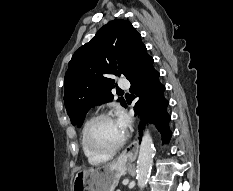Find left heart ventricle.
Masks as SVG:
<instances>
[{"mask_svg":"<svg viewBox=\"0 0 233 191\" xmlns=\"http://www.w3.org/2000/svg\"><path fill=\"white\" fill-rule=\"evenodd\" d=\"M123 136L124 133L115 119H103L94 126L91 141L97 148L108 150L116 146Z\"/></svg>","mask_w":233,"mask_h":191,"instance_id":"b2bd125f","label":"left heart ventricle"}]
</instances>
